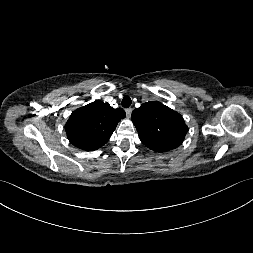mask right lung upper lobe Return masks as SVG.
<instances>
[{"instance_id": "cb5924a9", "label": "right lung upper lobe", "mask_w": 253, "mask_h": 253, "mask_svg": "<svg viewBox=\"0 0 253 253\" xmlns=\"http://www.w3.org/2000/svg\"><path fill=\"white\" fill-rule=\"evenodd\" d=\"M125 115L123 109H113L108 103L96 100L75 110L65 125V131L74 146L93 151L109 140Z\"/></svg>"}]
</instances>
